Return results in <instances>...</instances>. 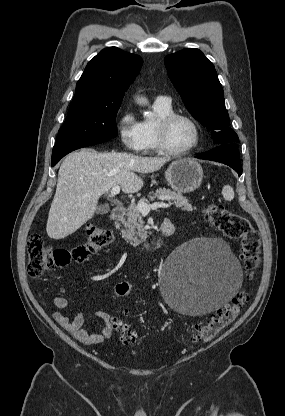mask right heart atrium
<instances>
[{
    "mask_svg": "<svg viewBox=\"0 0 285 416\" xmlns=\"http://www.w3.org/2000/svg\"><path fill=\"white\" fill-rule=\"evenodd\" d=\"M118 132L123 146L134 152L144 149V139L140 119L132 108L122 110L119 116Z\"/></svg>",
    "mask_w": 285,
    "mask_h": 416,
    "instance_id": "d8ad5b80",
    "label": "right heart atrium"
}]
</instances>
